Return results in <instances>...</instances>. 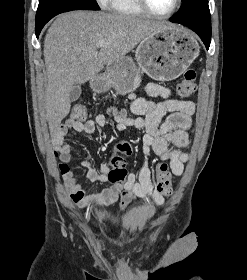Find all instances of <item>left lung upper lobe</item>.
Returning a JSON list of instances; mask_svg holds the SVG:
<instances>
[{"instance_id": "5c2ea615", "label": "left lung upper lobe", "mask_w": 247, "mask_h": 280, "mask_svg": "<svg viewBox=\"0 0 247 280\" xmlns=\"http://www.w3.org/2000/svg\"><path fill=\"white\" fill-rule=\"evenodd\" d=\"M175 18L184 24L211 28L208 0H184Z\"/></svg>"}]
</instances>
